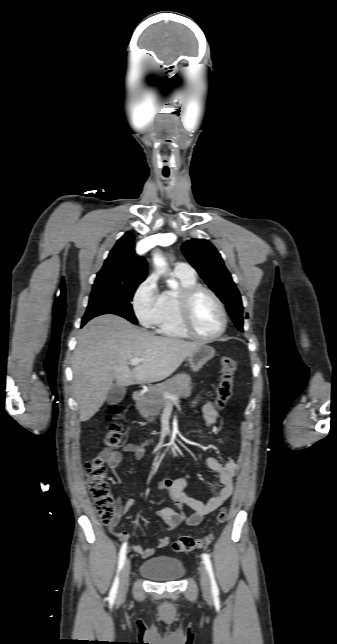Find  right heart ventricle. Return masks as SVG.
<instances>
[{"mask_svg": "<svg viewBox=\"0 0 337 644\" xmlns=\"http://www.w3.org/2000/svg\"><path fill=\"white\" fill-rule=\"evenodd\" d=\"M175 276L180 286L178 289H168L160 294V310L154 326L160 335L187 339L190 336L184 330L179 318V297L185 288L198 284V281L195 274L175 272Z\"/></svg>", "mask_w": 337, "mask_h": 644, "instance_id": "right-heart-ventricle-1", "label": "right heart ventricle"}]
</instances>
